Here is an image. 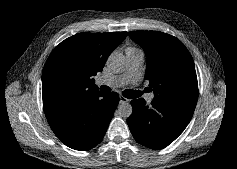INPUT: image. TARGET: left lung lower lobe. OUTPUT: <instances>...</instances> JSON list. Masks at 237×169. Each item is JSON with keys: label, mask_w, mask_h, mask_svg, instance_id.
<instances>
[{"label": "left lung lower lobe", "mask_w": 237, "mask_h": 169, "mask_svg": "<svg viewBox=\"0 0 237 169\" xmlns=\"http://www.w3.org/2000/svg\"><path fill=\"white\" fill-rule=\"evenodd\" d=\"M132 115L128 125L135 140L151 149H162L172 143L186 128L194 110L158 102L147 106L144 99L131 101Z\"/></svg>", "instance_id": "obj_1"}]
</instances>
